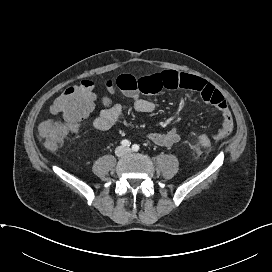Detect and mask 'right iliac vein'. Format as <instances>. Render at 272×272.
<instances>
[{
  "label": "right iliac vein",
  "mask_w": 272,
  "mask_h": 272,
  "mask_svg": "<svg viewBox=\"0 0 272 272\" xmlns=\"http://www.w3.org/2000/svg\"><path fill=\"white\" fill-rule=\"evenodd\" d=\"M125 151H126V150H125L123 147H118V148L116 149V154H117L118 156H122V155H124Z\"/></svg>",
  "instance_id": "63e3f726"
}]
</instances>
